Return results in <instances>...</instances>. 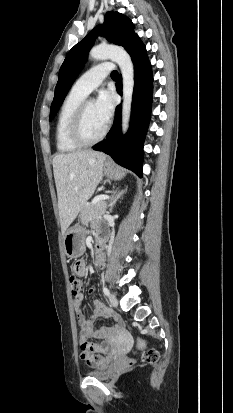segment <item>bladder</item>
<instances>
[{
	"mask_svg": "<svg viewBox=\"0 0 233 413\" xmlns=\"http://www.w3.org/2000/svg\"><path fill=\"white\" fill-rule=\"evenodd\" d=\"M114 372V367L112 365H107L105 367L89 371L87 375L100 380H108L113 376Z\"/></svg>",
	"mask_w": 233,
	"mask_h": 413,
	"instance_id": "bladder-1",
	"label": "bladder"
}]
</instances>
